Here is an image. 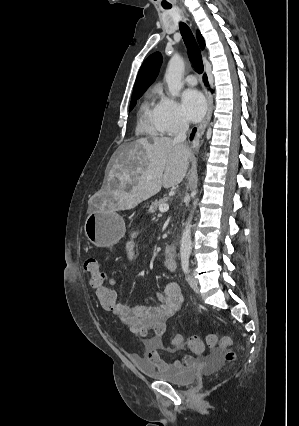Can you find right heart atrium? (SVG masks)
Returning a JSON list of instances; mask_svg holds the SVG:
<instances>
[{
    "label": "right heart atrium",
    "instance_id": "obj_1",
    "mask_svg": "<svg viewBox=\"0 0 299 426\" xmlns=\"http://www.w3.org/2000/svg\"><path fill=\"white\" fill-rule=\"evenodd\" d=\"M157 122L164 134H175L187 127L179 104L171 97L162 95L157 104Z\"/></svg>",
    "mask_w": 299,
    "mask_h": 426
}]
</instances>
